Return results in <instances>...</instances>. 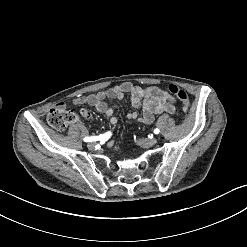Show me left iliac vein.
Returning <instances> with one entry per match:
<instances>
[{
	"mask_svg": "<svg viewBox=\"0 0 247 247\" xmlns=\"http://www.w3.org/2000/svg\"><path fill=\"white\" fill-rule=\"evenodd\" d=\"M138 143L140 146L144 148H149L157 143V139L156 138L140 139Z\"/></svg>",
	"mask_w": 247,
	"mask_h": 247,
	"instance_id": "1",
	"label": "left iliac vein"
}]
</instances>
